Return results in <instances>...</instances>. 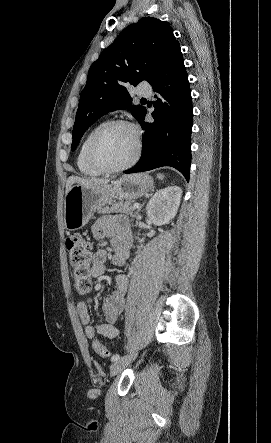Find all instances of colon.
Here are the masks:
<instances>
[{
  "label": "colon",
  "mask_w": 271,
  "mask_h": 443,
  "mask_svg": "<svg viewBox=\"0 0 271 443\" xmlns=\"http://www.w3.org/2000/svg\"><path fill=\"white\" fill-rule=\"evenodd\" d=\"M69 263L72 270L74 287L80 295H89L92 290L90 264L92 261V244L80 235H73L66 241ZM94 351L103 358L110 352L98 341L92 344Z\"/></svg>",
  "instance_id": "1"
}]
</instances>
